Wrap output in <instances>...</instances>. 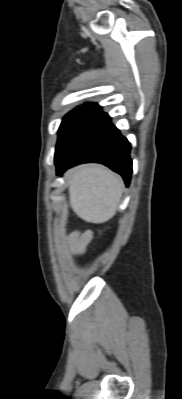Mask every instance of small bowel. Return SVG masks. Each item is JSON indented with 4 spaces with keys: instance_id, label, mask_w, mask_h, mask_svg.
<instances>
[{
    "instance_id": "small-bowel-1",
    "label": "small bowel",
    "mask_w": 182,
    "mask_h": 399,
    "mask_svg": "<svg viewBox=\"0 0 182 399\" xmlns=\"http://www.w3.org/2000/svg\"><path fill=\"white\" fill-rule=\"evenodd\" d=\"M93 239V233L90 230L77 231L70 235L67 242L68 252L77 257L83 256L88 248V245Z\"/></svg>"
}]
</instances>
